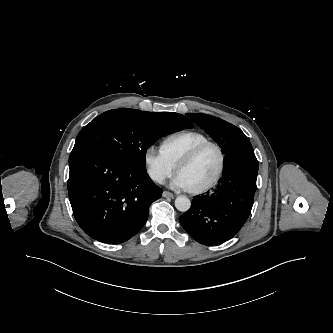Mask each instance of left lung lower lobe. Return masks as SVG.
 Wrapping results in <instances>:
<instances>
[{
  "label": "left lung lower lobe",
  "mask_w": 333,
  "mask_h": 333,
  "mask_svg": "<svg viewBox=\"0 0 333 333\" xmlns=\"http://www.w3.org/2000/svg\"><path fill=\"white\" fill-rule=\"evenodd\" d=\"M258 161L249 141L225 154L223 177L213 193L197 195L179 217L185 231L203 245L225 242L248 219L256 191Z\"/></svg>",
  "instance_id": "obj_1"
}]
</instances>
